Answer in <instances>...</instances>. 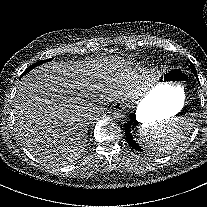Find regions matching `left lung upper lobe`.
<instances>
[{
	"label": "left lung upper lobe",
	"mask_w": 207,
	"mask_h": 207,
	"mask_svg": "<svg viewBox=\"0 0 207 207\" xmlns=\"http://www.w3.org/2000/svg\"><path fill=\"white\" fill-rule=\"evenodd\" d=\"M191 64V71L195 68L194 64L193 63H190Z\"/></svg>",
	"instance_id": "5c2ea615"
}]
</instances>
